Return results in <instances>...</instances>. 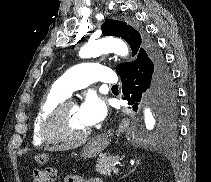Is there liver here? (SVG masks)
Returning a JSON list of instances; mask_svg holds the SVG:
<instances>
[{
  "label": "liver",
  "instance_id": "liver-1",
  "mask_svg": "<svg viewBox=\"0 0 211 182\" xmlns=\"http://www.w3.org/2000/svg\"><path fill=\"white\" fill-rule=\"evenodd\" d=\"M78 145H60V146H55V147H50L48 148L49 151H58V150H67L72 147H77Z\"/></svg>",
  "mask_w": 211,
  "mask_h": 182
}]
</instances>
